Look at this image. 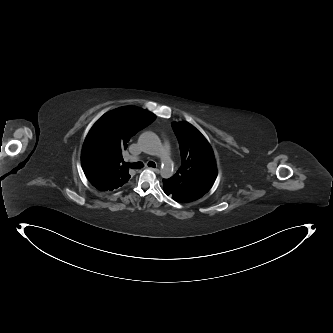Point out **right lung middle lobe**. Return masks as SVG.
Masks as SVG:
<instances>
[{
	"label": "right lung middle lobe",
	"instance_id": "1",
	"mask_svg": "<svg viewBox=\"0 0 333 333\" xmlns=\"http://www.w3.org/2000/svg\"><path fill=\"white\" fill-rule=\"evenodd\" d=\"M91 152L90 148L83 147L82 149V155H81V161L84 162L86 158L88 157L89 153Z\"/></svg>",
	"mask_w": 333,
	"mask_h": 333
}]
</instances>
